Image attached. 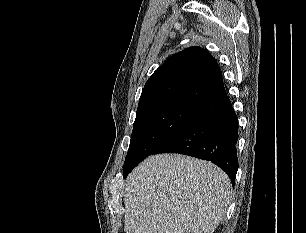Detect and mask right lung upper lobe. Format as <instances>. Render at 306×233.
I'll return each mask as SVG.
<instances>
[{"label":"right lung upper lobe","instance_id":"cb5924a9","mask_svg":"<svg viewBox=\"0 0 306 233\" xmlns=\"http://www.w3.org/2000/svg\"><path fill=\"white\" fill-rule=\"evenodd\" d=\"M226 95L222 72L211 54L190 47L168 58L146 82L138 108L157 100L182 99L203 107Z\"/></svg>","mask_w":306,"mask_h":233}]
</instances>
